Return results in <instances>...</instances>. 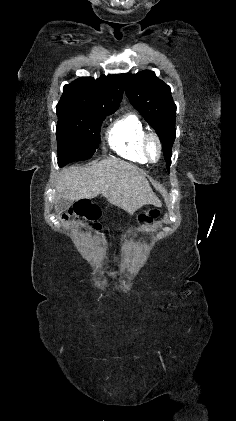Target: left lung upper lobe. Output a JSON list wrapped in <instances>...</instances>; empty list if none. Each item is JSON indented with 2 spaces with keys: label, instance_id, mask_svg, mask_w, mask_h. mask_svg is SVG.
Instances as JSON below:
<instances>
[{
  "label": "left lung upper lobe",
  "instance_id": "5c2ea615",
  "mask_svg": "<svg viewBox=\"0 0 236 421\" xmlns=\"http://www.w3.org/2000/svg\"><path fill=\"white\" fill-rule=\"evenodd\" d=\"M121 81L130 103L155 129L162 142L165 161L171 164L176 105L170 87L148 70L122 74Z\"/></svg>",
  "mask_w": 236,
  "mask_h": 421
}]
</instances>
